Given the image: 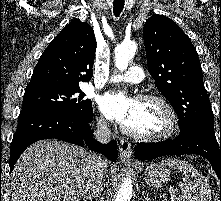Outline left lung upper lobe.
I'll return each mask as SVG.
<instances>
[{
	"instance_id": "obj_1",
	"label": "left lung upper lobe",
	"mask_w": 221,
	"mask_h": 201,
	"mask_svg": "<svg viewBox=\"0 0 221 201\" xmlns=\"http://www.w3.org/2000/svg\"><path fill=\"white\" fill-rule=\"evenodd\" d=\"M143 36L149 73L177 113L180 130L194 124L213 127L202 68L189 37L163 15L147 19Z\"/></svg>"
}]
</instances>
